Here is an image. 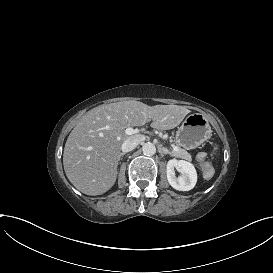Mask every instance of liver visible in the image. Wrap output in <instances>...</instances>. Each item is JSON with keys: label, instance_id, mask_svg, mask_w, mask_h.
I'll use <instances>...</instances> for the list:
<instances>
[{"label": "liver", "instance_id": "1", "mask_svg": "<svg viewBox=\"0 0 273 273\" xmlns=\"http://www.w3.org/2000/svg\"><path fill=\"white\" fill-rule=\"evenodd\" d=\"M190 113L185 106L155 105L130 100L97 106L88 111L69 134L63 165L69 181L86 195H100L115 183L121 147L131 137L125 129L143 126L169 130Z\"/></svg>", "mask_w": 273, "mask_h": 273}]
</instances>
